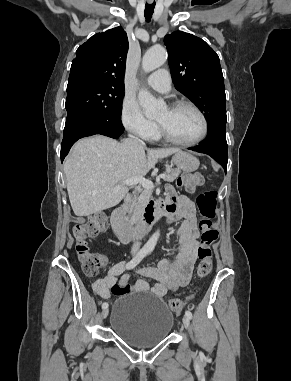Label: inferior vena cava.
Segmentation results:
<instances>
[{"mask_svg":"<svg viewBox=\"0 0 291 381\" xmlns=\"http://www.w3.org/2000/svg\"><path fill=\"white\" fill-rule=\"evenodd\" d=\"M130 137H133V136H131L130 135ZM142 146H145V143L143 142V141H141V140H137ZM140 245H141V243L140 242H134V244H133V246H132V250H131V252L133 253V254H136L138 251H139V248H140Z\"/></svg>","mask_w":291,"mask_h":381,"instance_id":"1","label":"inferior vena cava"}]
</instances>
